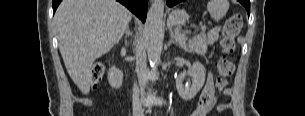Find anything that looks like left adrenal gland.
Masks as SVG:
<instances>
[{"label":"left adrenal gland","mask_w":305,"mask_h":116,"mask_svg":"<svg viewBox=\"0 0 305 116\" xmlns=\"http://www.w3.org/2000/svg\"><path fill=\"white\" fill-rule=\"evenodd\" d=\"M171 44H176V45H178L177 42L174 41L173 33H171V39H170V41H169V43H168V46H170ZM182 47H183V46H182Z\"/></svg>","instance_id":"a2214340"}]
</instances>
